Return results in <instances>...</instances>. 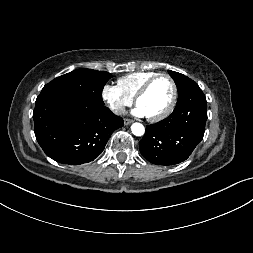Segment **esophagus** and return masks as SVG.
I'll use <instances>...</instances> for the list:
<instances>
[{"label": "esophagus", "instance_id": "1", "mask_svg": "<svg viewBox=\"0 0 253 253\" xmlns=\"http://www.w3.org/2000/svg\"><path fill=\"white\" fill-rule=\"evenodd\" d=\"M133 122V120H131V119H124V125H129V124H131Z\"/></svg>", "mask_w": 253, "mask_h": 253}]
</instances>
